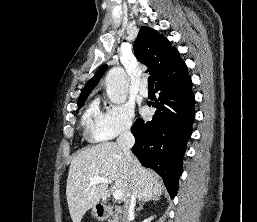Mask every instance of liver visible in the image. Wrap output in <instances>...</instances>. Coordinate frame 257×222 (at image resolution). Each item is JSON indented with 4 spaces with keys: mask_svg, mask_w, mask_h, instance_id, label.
Returning <instances> with one entry per match:
<instances>
[{
    "mask_svg": "<svg viewBox=\"0 0 257 222\" xmlns=\"http://www.w3.org/2000/svg\"><path fill=\"white\" fill-rule=\"evenodd\" d=\"M133 177L131 166L121 148L114 142H103L81 151L70 164L66 196L73 222H81L83 215L95 207L108 184L90 185V179L102 177L112 180V187L122 192V201L130 199L135 191L140 201L158 199L162 194V183L158 175L143 167L135 156Z\"/></svg>",
    "mask_w": 257,
    "mask_h": 222,
    "instance_id": "1",
    "label": "liver"
}]
</instances>
